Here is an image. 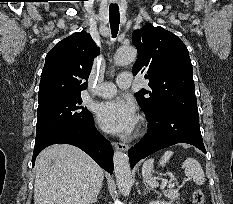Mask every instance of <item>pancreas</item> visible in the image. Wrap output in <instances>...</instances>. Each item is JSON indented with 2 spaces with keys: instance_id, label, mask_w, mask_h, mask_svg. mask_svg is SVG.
<instances>
[{
  "instance_id": "obj_1",
  "label": "pancreas",
  "mask_w": 233,
  "mask_h": 204,
  "mask_svg": "<svg viewBox=\"0 0 233 204\" xmlns=\"http://www.w3.org/2000/svg\"><path fill=\"white\" fill-rule=\"evenodd\" d=\"M163 192H164V195L167 198H169L171 201H178V200H180V195L178 193V190H176V189L170 188V189H167V190H165Z\"/></svg>"
}]
</instances>
